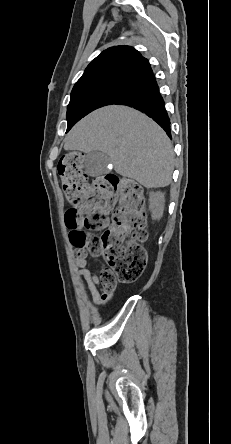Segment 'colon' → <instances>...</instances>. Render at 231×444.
I'll return each mask as SVG.
<instances>
[{
	"label": "colon",
	"mask_w": 231,
	"mask_h": 444,
	"mask_svg": "<svg viewBox=\"0 0 231 444\" xmlns=\"http://www.w3.org/2000/svg\"><path fill=\"white\" fill-rule=\"evenodd\" d=\"M63 190L71 205L66 211V226L82 234L86 255L103 256L108 268L99 276L102 289L111 293L118 283H132L143 273L147 253L145 241L146 212L140 185L125 177L107 174L88 181L83 170V156L77 152L64 154L58 163ZM112 224L101 236L92 232Z\"/></svg>",
	"instance_id": "colon-1"
}]
</instances>
